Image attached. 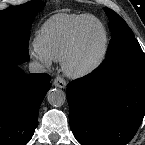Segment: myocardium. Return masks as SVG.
<instances>
[{
	"instance_id": "f54148a6",
	"label": "myocardium",
	"mask_w": 145,
	"mask_h": 145,
	"mask_svg": "<svg viewBox=\"0 0 145 145\" xmlns=\"http://www.w3.org/2000/svg\"><path fill=\"white\" fill-rule=\"evenodd\" d=\"M90 21H94L102 30L103 38L99 51L89 60L81 61L84 47V30ZM109 37L105 25L96 17L84 21L77 28L73 45L62 60V68L66 75L73 78L87 76L94 72L104 61L108 51Z\"/></svg>"
}]
</instances>
